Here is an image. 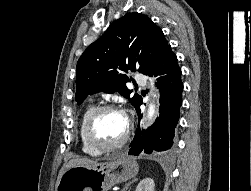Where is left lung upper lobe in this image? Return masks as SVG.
<instances>
[{"label": "left lung upper lobe", "instance_id": "1", "mask_svg": "<svg viewBox=\"0 0 251 191\" xmlns=\"http://www.w3.org/2000/svg\"><path fill=\"white\" fill-rule=\"evenodd\" d=\"M171 49L162 30L146 15L127 13L114 21L105 33L89 45L77 63L76 98L118 91L135 107L141 97L126 86L128 70L151 74L163 54Z\"/></svg>", "mask_w": 251, "mask_h": 191}]
</instances>
